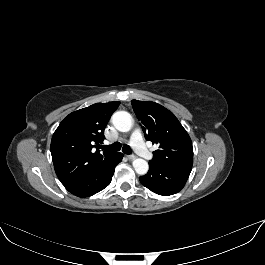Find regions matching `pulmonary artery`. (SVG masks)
Instances as JSON below:
<instances>
[{
  "mask_svg": "<svg viewBox=\"0 0 265 265\" xmlns=\"http://www.w3.org/2000/svg\"><path fill=\"white\" fill-rule=\"evenodd\" d=\"M130 143L133 149L143 158L151 159L153 157L152 152L144 144L143 135L139 128L132 131Z\"/></svg>",
  "mask_w": 265,
  "mask_h": 265,
  "instance_id": "pulmonary-artery-1",
  "label": "pulmonary artery"
}]
</instances>
